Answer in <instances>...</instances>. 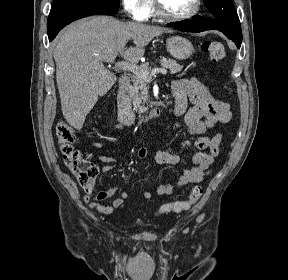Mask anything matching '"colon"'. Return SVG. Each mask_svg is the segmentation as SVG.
Segmentation results:
<instances>
[{
  "label": "colon",
  "instance_id": "obj_1",
  "mask_svg": "<svg viewBox=\"0 0 288 280\" xmlns=\"http://www.w3.org/2000/svg\"><path fill=\"white\" fill-rule=\"evenodd\" d=\"M201 48L212 62H220L225 57L224 46L219 41H204ZM56 135L65 165L76 177L79 185L83 189L91 191L98 176V168L92 161L85 159L80 151L74 147L76 141L74 129L65 121H60L56 126ZM202 193L203 188L196 185L192 187L186 200L163 204L156 214L186 211L200 199Z\"/></svg>",
  "mask_w": 288,
  "mask_h": 280
}]
</instances>
